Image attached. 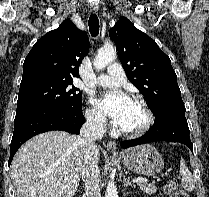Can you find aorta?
I'll return each mask as SVG.
<instances>
[{
    "label": "aorta",
    "instance_id": "762f6f07",
    "mask_svg": "<svg viewBox=\"0 0 209 197\" xmlns=\"http://www.w3.org/2000/svg\"><path fill=\"white\" fill-rule=\"evenodd\" d=\"M116 55V49L112 45L102 47L96 55L94 67L99 70L105 68L109 63L115 60ZM105 197H118L114 182H108Z\"/></svg>",
    "mask_w": 209,
    "mask_h": 197
}]
</instances>
